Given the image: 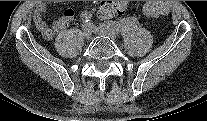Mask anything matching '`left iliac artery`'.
Listing matches in <instances>:
<instances>
[{"label":"left iliac artery","instance_id":"obj_1","mask_svg":"<svg viewBox=\"0 0 207 121\" xmlns=\"http://www.w3.org/2000/svg\"><path fill=\"white\" fill-rule=\"evenodd\" d=\"M135 20L132 18H127L124 21L116 22V21H108L103 23L102 25L106 26L107 28H111L115 30L117 33H121L126 31L127 28L132 27L135 25Z\"/></svg>","mask_w":207,"mask_h":121}]
</instances>
